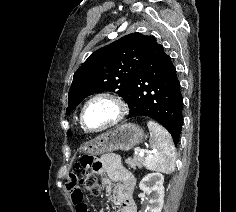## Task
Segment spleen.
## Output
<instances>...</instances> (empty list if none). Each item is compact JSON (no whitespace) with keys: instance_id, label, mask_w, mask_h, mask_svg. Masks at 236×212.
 I'll return each instance as SVG.
<instances>
[{"instance_id":"obj_1","label":"spleen","mask_w":236,"mask_h":212,"mask_svg":"<svg viewBox=\"0 0 236 212\" xmlns=\"http://www.w3.org/2000/svg\"><path fill=\"white\" fill-rule=\"evenodd\" d=\"M150 147L152 150L145 158V167L151 171L170 174L175 169L176 152L169 132L159 123L149 120Z\"/></svg>"}]
</instances>
